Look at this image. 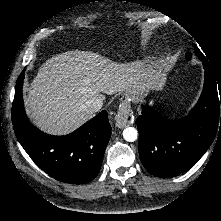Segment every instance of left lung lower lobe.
Masks as SVG:
<instances>
[{
  "label": "left lung lower lobe",
  "instance_id": "left-lung-lower-lobe-1",
  "mask_svg": "<svg viewBox=\"0 0 221 221\" xmlns=\"http://www.w3.org/2000/svg\"><path fill=\"white\" fill-rule=\"evenodd\" d=\"M203 66V91L187 116L173 119L146 106L136 121L140 159L152 175L170 178L189 170L215 137L219 126L218 92L221 104V83L215 79L207 62Z\"/></svg>",
  "mask_w": 221,
  "mask_h": 221
}]
</instances>
